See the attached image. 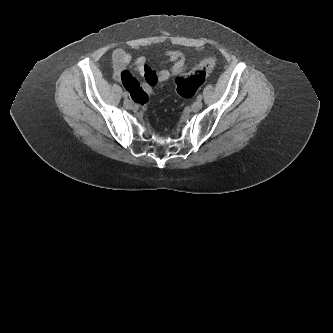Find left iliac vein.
<instances>
[{
    "mask_svg": "<svg viewBox=\"0 0 333 333\" xmlns=\"http://www.w3.org/2000/svg\"><path fill=\"white\" fill-rule=\"evenodd\" d=\"M202 101L201 100H196L193 104H192V110L194 112H197L199 111L201 108H202Z\"/></svg>",
    "mask_w": 333,
    "mask_h": 333,
    "instance_id": "4c4485c4",
    "label": "left iliac vein"
}]
</instances>
